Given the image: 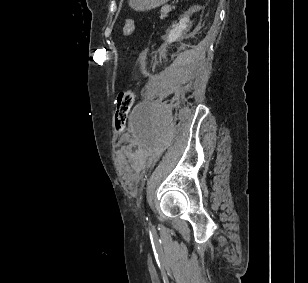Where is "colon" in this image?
I'll use <instances>...</instances> for the list:
<instances>
[{
	"label": "colon",
	"instance_id": "5ec220e1",
	"mask_svg": "<svg viewBox=\"0 0 308 283\" xmlns=\"http://www.w3.org/2000/svg\"><path fill=\"white\" fill-rule=\"evenodd\" d=\"M134 29L135 21L133 19L127 20L122 29L123 36H130ZM135 97L134 90H127L118 94L114 111V123L118 131H122L125 128Z\"/></svg>",
	"mask_w": 308,
	"mask_h": 283
}]
</instances>
